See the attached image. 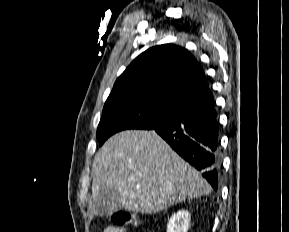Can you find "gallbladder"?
I'll list each match as a JSON object with an SVG mask.
<instances>
[{
	"label": "gallbladder",
	"mask_w": 289,
	"mask_h": 232,
	"mask_svg": "<svg viewBox=\"0 0 289 232\" xmlns=\"http://www.w3.org/2000/svg\"><path fill=\"white\" fill-rule=\"evenodd\" d=\"M93 204L100 216H109L122 208L117 191H109L100 198L96 197L93 200Z\"/></svg>",
	"instance_id": "1"
}]
</instances>
